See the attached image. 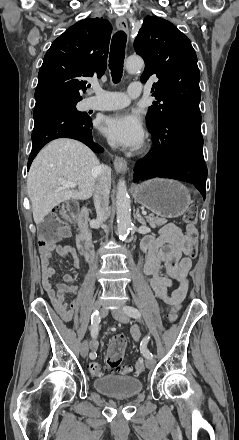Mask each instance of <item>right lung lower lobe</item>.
I'll return each mask as SVG.
<instances>
[{
    "label": "right lung lower lobe",
    "instance_id": "obj_1",
    "mask_svg": "<svg viewBox=\"0 0 239 440\" xmlns=\"http://www.w3.org/2000/svg\"><path fill=\"white\" fill-rule=\"evenodd\" d=\"M34 129L32 132L33 147L29 156L28 167L40 149L57 138H72L90 147L94 152L103 148L92 139V119L87 115H78L66 103L58 100H41L36 102L34 112Z\"/></svg>",
    "mask_w": 239,
    "mask_h": 440
}]
</instances>
